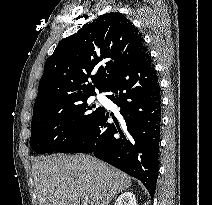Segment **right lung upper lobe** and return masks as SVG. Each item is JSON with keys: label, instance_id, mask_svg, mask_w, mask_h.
<instances>
[{"label": "right lung upper lobe", "instance_id": "1", "mask_svg": "<svg viewBox=\"0 0 212 205\" xmlns=\"http://www.w3.org/2000/svg\"><path fill=\"white\" fill-rule=\"evenodd\" d=\"M146 52L142 34L123 14L99 16L60 41L47 59L33 111L104 91L118 72Z\"/></svg>", "mask_w": 212, "mask_h": 205}]
</instances>
